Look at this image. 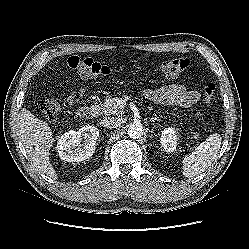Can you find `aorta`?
Segmentation results:
<instances>
[{"label":"aorta","mask_w":249,"mask_h":249,"mask_svg":"<svg viewBox=\"0 0 249 249\" xmlns=\"http://www.w3.org/2000/svg\"><path fill=\"white\" fill-rule=\"evenodd\" d=\"M128 135L132 139H140L144 135V128L140 122L131 123L128 127Z\"/></svg>","instance_id":"762f6f07"}]
</instances>
